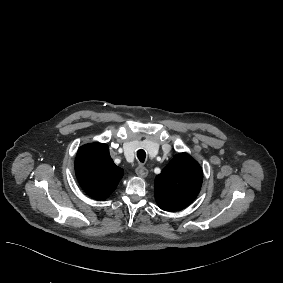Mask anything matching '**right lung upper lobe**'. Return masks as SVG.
Segmentation results:
<instances>
[{"instance_id":"obj_1","label":"right lung upper lobe","mask_w":283,"mask_h":283,"mask_svg":"<svg viewBox=\"0 0 283 283\" xmlns=\"http://www.w3.org/2000/svg\"><path fill=\"white\" fill-rule=\"evenodd\" d=\"M75 171L83 190L96 200L106 199L123 176V169L114 164L103 143L82 146L75 159Z\"/></svg>"}]
</instances>
